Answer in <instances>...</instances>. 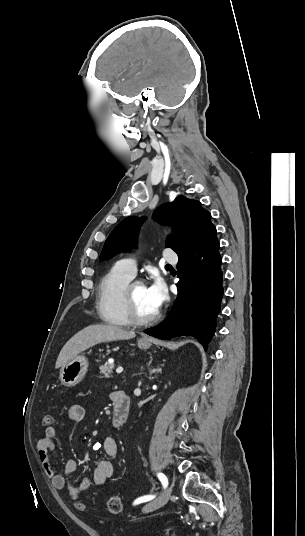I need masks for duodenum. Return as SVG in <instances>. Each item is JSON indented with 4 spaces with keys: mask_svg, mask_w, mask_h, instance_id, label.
<instances>
[{
    "mask_svg": "<svg viewBox=\"0 0 305 536\" xmlns=\"http://www.w3.org/2000/svg\"><path fill=\"white\" fill-rule=\"evenodd\" d=\"M130 412V400L123 391L113 395V424L121 426L128 419Z\"/></svg>",
    "mask_w": 305,
    "mask_h": 536,
    "instance_id": "duodenum-1",
    "label": "duodenum"
}]
</instances>
